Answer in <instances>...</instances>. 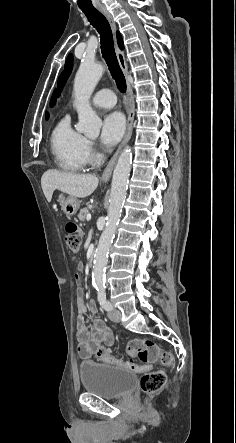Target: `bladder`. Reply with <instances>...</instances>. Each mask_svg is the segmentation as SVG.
I'll list each match as a JSON object with an SVG mask.
<instances>
[{"instance_id":"obj_1","label":"bladder","mask_w":236,"mask_h":443,"mask_svg":"<svg viewBox=\"0 0 236 443\" xmlns=\"http://www.w3.org/2000/svg\"><path fill=\"white\" fill-rule=\"evenodd\" d=\"M80 378L86 393L105 399L125 397L136 384L133 371L92 361L81 363Z\"/></svg>"}]
</instances>
